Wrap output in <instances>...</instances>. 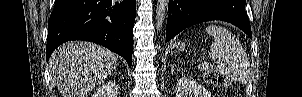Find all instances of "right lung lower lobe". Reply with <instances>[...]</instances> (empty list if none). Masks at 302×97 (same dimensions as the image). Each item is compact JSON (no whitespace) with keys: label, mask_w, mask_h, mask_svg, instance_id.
I'll return each instance as SVG.
<instances>
[{"label":"right lung lower lobe","mask_w":302,"mask_h":97,"mask_svg":"<svg viewBox=\"0 0 302 97\" xmlns=\"http://www.w3.org/2000/svg\"><path fill=\"white\" fill-rule=\"evenodd\" d=\"M136 0H55L48 22L46 59L70 40L95 42L132 64Z\"/></svg>","instance_id":"obj_1"}]
</instances>
